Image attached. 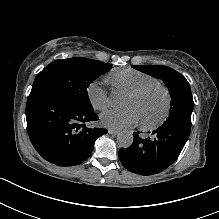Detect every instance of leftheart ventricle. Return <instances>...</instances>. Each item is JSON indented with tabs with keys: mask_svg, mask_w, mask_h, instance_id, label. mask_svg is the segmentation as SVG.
I'll use <instances>...</instances> for the list:
<instances>
[{
	"mask_svg": "<svg viewBox=\"0 0 219 219\" xmlns=\"http://www.w3.org/2000/svg\"><path fill=\"white\" fill-rule=\"evenodd\" d=\"M165 106L166 97L164 91L159 88L151 89L137 97L127 95L124 102V107L134 108L140 121L146 124L158 122L164 114Z\"/></svg>",
	"mask_w": 219,
	"mask_h": 219,
	"instance_id": "b2bd125f",
	"label": "left heart ventricle"
}]
</instances>
